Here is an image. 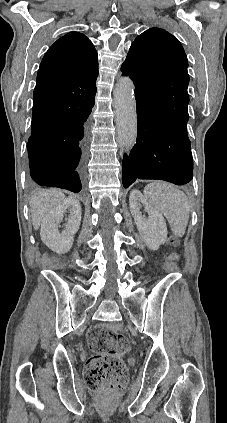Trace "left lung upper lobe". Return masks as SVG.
Listing matches in <instances>:
<instances>
[{
	"label": "left lung upper lobe",
	"mask_w": 227,
	"mask_h": 423,
	"mask_svg": "<svg viewBox=\"0 0 227 423\" xmlns=\"http://www.w3.org/2000/svg\"><path fill=\"white\" fill-rule=\"evenodd\" d=\"M187 67L180 42L163 29L151 28L134 40L121 71L132 79L147 107L172 113L187 112Z\"/></svg>",
	"instance_id": "5c2ea615"
}]
</instances>
